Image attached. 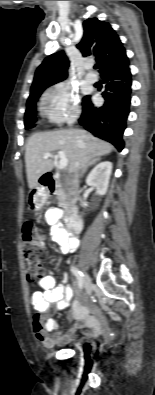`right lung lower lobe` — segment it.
Instances as JSON below:
<instances>
[{
    "mask_svg": "<svg viewBox=\"0 0 155 395\" xmlns=\"http://www.w3.org/2000/svg\"><path fill=\"white\" fill-rule=\"evenodd\" d=\"M105 99L103 106H95L90 96L83 98V112L79 123L95 136L111 142L119 151L124 148L122 140L126 128L131 100V73L129 62L105 70Z\"/></svg>",
    "mask_w": 155,
    "mask_h": 395,
    "instance_id": "obj_1",
    "label": "right lung lower lobe"
}]
</instances>
